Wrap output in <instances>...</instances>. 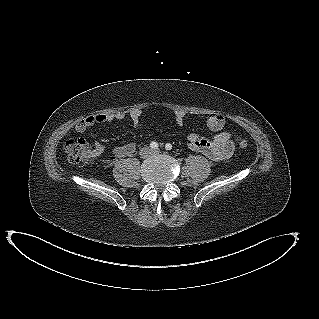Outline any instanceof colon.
I'll use <instances>...</instances> for the list:
<instances>
[{"instance_id":"colon-1","label":"colon","mask_w":319,"mask_h":319,"mask_svg":"<svg viewBox=\"0 0 319 319\" xmlns=\"http://www.w3.org/2000/svg\"><path fill=\"white\" fill-rule=\"evenodd\" d=\"M237 144L241 149L250 147L248 140L244 137H238ZM63 150L68 161L73 164H85L93 159L89 143L82 138L66 140Z\"/></svg>"}]
</instances>
